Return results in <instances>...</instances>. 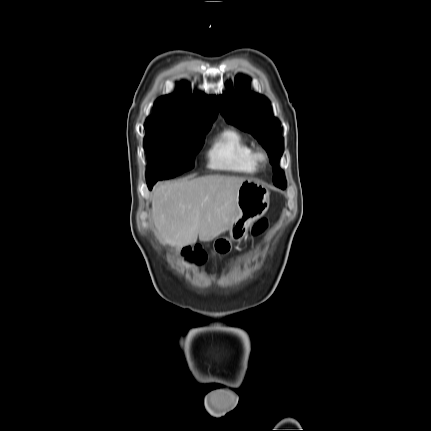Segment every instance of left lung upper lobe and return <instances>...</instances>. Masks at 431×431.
<instances>
[{"mask_svg":"<svg viewBox=\"0 0 431 431\" xmlns=\"http://www.w3.org/2000/svg\"><path fill=\"white\" fill-rule=\"evenodd\" d=\"M219 109L224 118L242 130L251 133L268 152L273 165L275 186L284 189L286 180L283 171L278 167L283 153L281 125L273 117L269 101L262 95L252 92L248 87V79L239 76L235 89L218 97Z\"/></svg>","mask_w":431,"mask_h":431,"instance_id":"1","label":"left lung upper lobe"}]
</instances>
